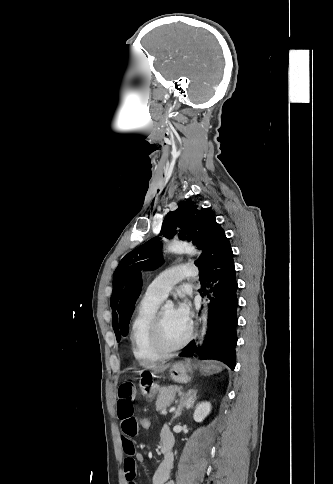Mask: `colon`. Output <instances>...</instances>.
<instances>
[{
    "label": "colon",
    "instance_id": "1",
    "mask_svg": "<svg viewBox=\"0 0 333 484\" xmlns=\"http://www.w3.org/2000/svg\"><path fill=\"white\" fill-rule=\"evenodd\" d=\"M140 431H147L151 428L152 420L149 416H140L137 420Z\"/></svg>",
    "mask_w": 333,
    "mask_h": 484
}]
</instances>
